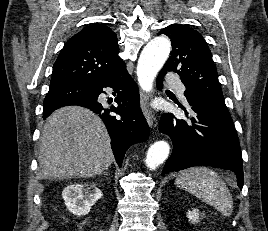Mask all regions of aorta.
I'll return each mask as SVG.
<instances>
[{"label":"aorta","instance_id":"762f6f07","mask_svg":"<svg viewBox=\"0 0 268 231\" xmlns=\"http://www.w3.org/2000/svg\"><path fill=\"white\" fill-rule=\"evenodd\" d=\"M170 50L171 43L163 36L155 37L142 50L137 65V77L139 85L144 91L152 90L154 79L166 62ZM169 152L170 146L164 140L152 144L146 155L147 167L150 170L156 169L167 159Z\"/></svg>","mask_w":268,"mask_h":231}]
</instances>
